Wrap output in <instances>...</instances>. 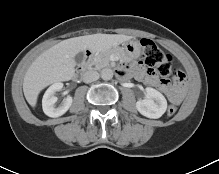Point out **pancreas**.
I'll return each mask as SVG.
<instances>
[{
    "label": "pancreas",
    "instance_id": "pancreas-1",
    "mask_svg": "<svg viewBox=\"0 0 219 174\" xmlns=\"http://www.w3.org/2000/svg\"><path fill=\"white\" fill-rule=\"evenodd\" d=\"M118 54L120 57H122L124 54L123 52H116L114 50H108V51H104V52H101L100 54L98 55H95L94 57L90 58L88 60V65L89 66H94L95 69H101L103 67H107L109 66V63H110V55L111 54Z\"/></svg>",
    "mask_w": 219,
    "mask_h": 174
}]
</instances>
